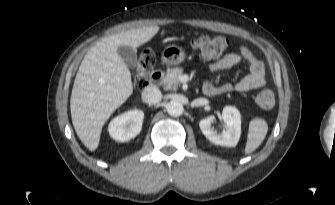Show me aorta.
I'll return each mask as SVG.
<instances>
[{"instance_id":"obj_1","label":"aorta","mask_w":335,"mask_h":205,"mask_svg":"<svg viewBox=\"0 0 335 205\" xmlns=\"http://www.w3.org/2000/svg\"><path fill=\"white\" fill-rule=\"evenodd\" d=\"M166 110L169 115L178 117L182 115L184 108H183L182 103L178 101H170L166 106Z\"/></svg>"}]
</instances>
